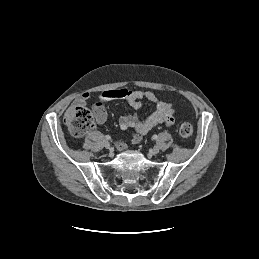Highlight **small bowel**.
I'll return each mask as SVG.
<instances>
[{
    "label": "small bowel",
    "instance_id": "small-bowel-1",
    "mask_svg": "<svg viewBox=\"0 0 259 259\" xmlns=\"http://www.w3.org/2000/svg\"><path fill=\"white\" fill-rule=\"evenodd\" d=\"M90 95L84 93L79 96L74 104L85 105ZM115 99H124L134 112L120 116L119 126L122 130L130 131V139L133 144L141 142L144 135L148 134L158 125L171 126L174 123V109L168 102L162 101L151 91L122 89H109L102 91L98 101L93 106L96 121L101 124L107 118L105 103ZM155 104V111L142 119L138 111L143 107L144 101ZM117 147L120 151L126 148L124 141H119Z\"/></svg>",
    "mask_w": 259,
    "mask_h": 259
}]
</instances>
